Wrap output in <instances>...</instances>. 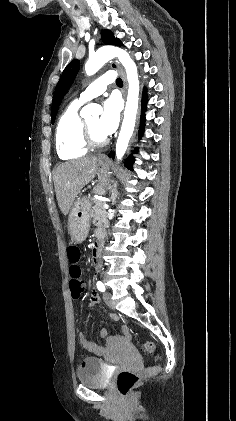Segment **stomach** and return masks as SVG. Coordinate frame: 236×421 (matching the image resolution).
<instances>
[{
	"label": "stomach",
	"mask_w": 236,
	"mask_h": 421,
	"mask_svg": "<svg viewBox=\"0 0 236 421\" xmlns=\"http://www.w3.org/2000/svg\"><path fill=\"white\" fill-rule=\"evenodd\" d=\"M97 162L100 182L97 186H95L94 192L104 194V186L107 184L106 176H108L110 164L108 160H106V158H102V156L98 158ZM92 213V202L90 198L83 196V198H77V200L73 202L67 223L68 235H70L72 243H83L86 237H88Z\"/></svg>",
	"instance_id": "0dacf381"
}]
</instances>
